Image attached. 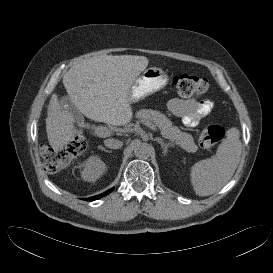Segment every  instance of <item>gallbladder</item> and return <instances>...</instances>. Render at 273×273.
I'll return each instance as SVG.
<instances>
[{
	"label": "gallbladder",
	"instance_id": "bac80fb5",
	"mask_svg": "<svg viewBox=\"0 0 273 273\" xmlns=\"http://www.w3.org/2000/svg\"><path fill=\"white\" fill-rule=\"evenodd\" d=\"M62 107L64 109H67L68 111H71V113L73 114V116L75 117V120L79 123V124H83L84 122V117L82 114H80V111L78 110V108L75 107L74 103L71 102L70 98L63 96L61 98V103Z\"/></svg>",
	"mask_w": 273,
	"mask_h": 273
}]
</instances>
